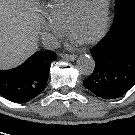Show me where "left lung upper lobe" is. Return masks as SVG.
Returning <instances> with one entry per match:
<instances>
[{
  "mask_svg": "<svg viewBox=\"0 0 135 135\" xmlns=\"http://www.w3.org/2000/svg\"><path fill=\"white\" fill-rule=\"evenodd\" d=\"M132 14H135V0H115L114 22H123Z\"/></svg>",
  "mask_w": 135,
  "mask_h": 135,
  "instance_id": "5c2ea615",
  "label": "left lung upper lobe"
}]
</instances>
